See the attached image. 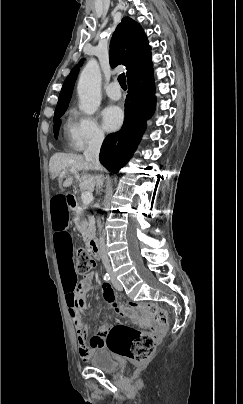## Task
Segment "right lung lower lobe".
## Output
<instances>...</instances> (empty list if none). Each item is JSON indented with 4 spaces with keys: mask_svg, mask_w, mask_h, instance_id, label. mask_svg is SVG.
<instances>
[{
    "mask_svg": "<svg viewBox=\"0 0 243 404\" xmlns=\"http://www.w3.org/2000/svg\"><path fill=\"white\" fill-rule=\"evenodd\" d=\"M153 70L128 81L125 120L122 129L106 137L99 159L110 172L117 173L132 157L155 109Z\"/></svg>",
    "mask_w": 243,
    "mask_h": 404,
    "instance_id": "obj_1",
    "label": "right lung lower lobe"
}]
</instances>
